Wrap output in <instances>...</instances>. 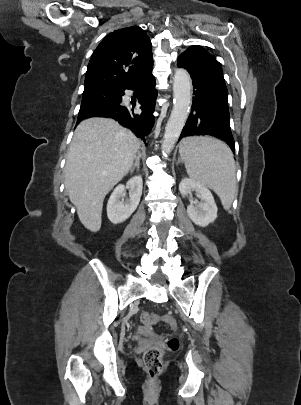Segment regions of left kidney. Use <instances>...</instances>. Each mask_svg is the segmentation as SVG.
<instances>
[{
    "instance_id": "left-kidney-1",
    "label": "left kidney",
    "mask_w": 301,
    "mask_h": 405,
    "mask_svg": "<svg viewBox=\"0 0 301 405\" xmlns=\"http://www.w3.org/2000/svg\"><path fill=\"white\" fill-rule=\"evenodd\" d=\"M179 191L183 197H186L192 191L201 198L199 204H190L187 207L189 218L198 226L206 227L217 218V206L212 193L206 186L193 179L184 178L179 184Z\"/></svg>"
}]
</instances>
